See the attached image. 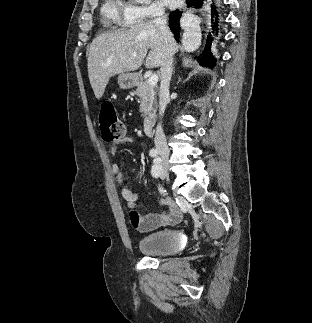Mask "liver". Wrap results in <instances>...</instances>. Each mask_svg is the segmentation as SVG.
I'll list each match as a JSON object with an SVG mask.
<instances>
[{"mask_svg":"<svg viewBox=\"0 0 312 323\" xmlns=\"http://www.w3.org/2000/svg\"><path fill=\"white\" fill-rule=\"evenodd\" d=\"M163 50V36L154 22H140L130 28L96 36L88 54V76L95 98H102L109 78L138 70L145 58L146 68H158ZM176 52L178 46L175 42L174 54ZM132 54L137 56L134 58Z\"/></svg>","mask_w":312,"mask_h":323,"instance_id":"1","label":"liver"}]
</instances>
